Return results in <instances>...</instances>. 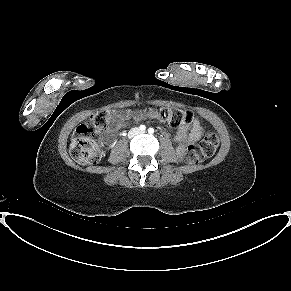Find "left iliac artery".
<instances>
[{
  "instance_id": "left-iliac-artery-1",
  "label": "left iliac artery",
  "mask_w": 291,
  "mask_h": 291,
  "mask_svg": "<svg viewBox=\"0 0 291 291\" xmlns=\"http://www.w3.org/2000/svg\"><path fill=\"white\" fill-rule=\"evenodd\" d=\"M148 132H149L150 134H153V133H154V129H153V128H149V129H148Z\"/></svg>"
}]
</instances>
